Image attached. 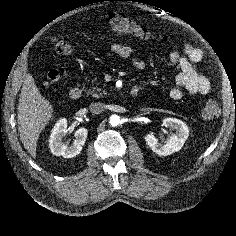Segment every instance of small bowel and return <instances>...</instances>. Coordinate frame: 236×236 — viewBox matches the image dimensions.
Here are the masks:
<instances>
[{"label":"small bowel","instance_id":"small-bowel-1","mask_svg":"<svg viewBox=\"0 0 236 236\" xmlns=\"http://www.w3.org/2000/svg\"><path fill=\"white\" fill-rule=\"evenodd\" d=\"M111 51L121 58L129 59L134 67L142 69L145 66V61L133 55L132 49L122 43H112ZM203 52L201 49L186 44L182 53L174 51L170 54V60L179 68V73L176 76L177 86L169 91V97L172 100H180L184 91L188 94H207L210 91L211 85L207 77L197 72L195 66L202 60ZM138 92L140 88L134 87Z\"/></svg>","mask_w":236,"mask_h":236}]
</instances>
